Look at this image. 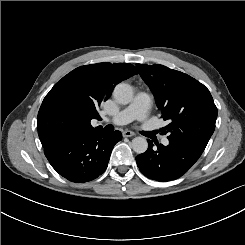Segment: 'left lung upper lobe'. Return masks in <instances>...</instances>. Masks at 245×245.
Returning <instances> with one entry per match:
<instances>
[{
    "label": "left lung upper lobe",
    "mask_w": 245,
    "mask_h": 245,
    "mask_svg": "<svg viewBox=\"0 0 245 245\" xmlns=\"http://www.w3.org/2000/svg\"><path fill=\"white\" fill-rule=\"evenodd\" d=\"M151 89L164 120L168 139L205 149L215 129L217 108L209 90L200 82L163 65L136 64Z\"/></svg>",
    "instance_id": "5c2ea615"
}]
</instances>
